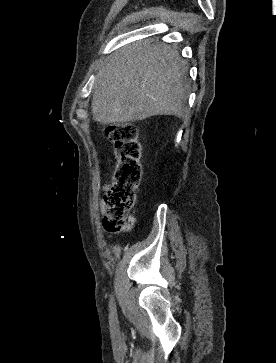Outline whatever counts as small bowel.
I'll list each match as a JSON object with an SVG mask.
<instances>
[{"instance_id":"small-bowel-1","label":"small bowel","mask_w":276,"mask_h":363,"mask_svg":"<svg viewBox=\"0 0 276 363\" xmlns=\"http://www.w3.org/2000/svg\"><path fill=\"white\" fill-rule=\"evenodd\" d=\"M110 184L107 182L105 184H103L101 187H100V191H106L108 188H109ZM99 206L101 208V210L103 209V202L102 200H99ZM108 238H113L112 235H107Z\"/></svg>"}]
</instances>
